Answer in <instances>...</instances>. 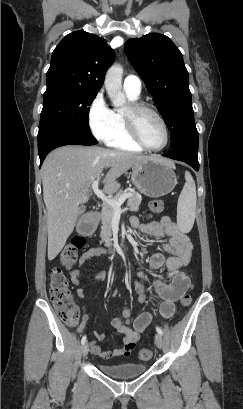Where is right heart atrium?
<instances>
[{
  "label": "right heart atrium",
  "mask_w": 243,
  "mask_h": 409,
  "mask_svg": "<svg viewBox=\"0 0 243 409\" xmlns=\"http://www.w3.org/2000/svg\"><path fill=\"white\" fill-rule=\"evenodd\" d=\"M87 121L92 134L101 141H110L119 129V120L112 110L102 91L90 102L87 110Z\"/></svg>",
  "instance_id": "d8ad5b80"
}]
</instances>
